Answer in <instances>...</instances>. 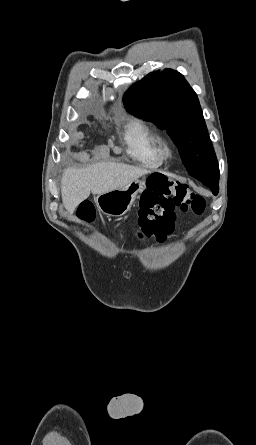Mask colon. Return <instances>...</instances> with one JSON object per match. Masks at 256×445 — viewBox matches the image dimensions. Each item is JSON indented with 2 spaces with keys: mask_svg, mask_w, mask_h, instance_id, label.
Returning <instances> with one entry per match:
<instances>
[{
  "mask_svg": "<svg viewBox=\"0 0 256 445\" xmlns=\"http://www.w3.org/2000/svg\"><path fill=\"white\" fill-rule=\"evenodd\" d=\"M177 209L201 215L205 209L204 198L185 184L160 175L151 176L148 188L139 199L137 235L163 241L173 230ZM78 214L83 221L92 222L95 217L93 205L87 201L81 203Z\"/></svg>",
  "mask_w": 256,
  "mask_h": 445,
  "instance_id": "obj_1",
  "label": "colon"
}]
</instances>
